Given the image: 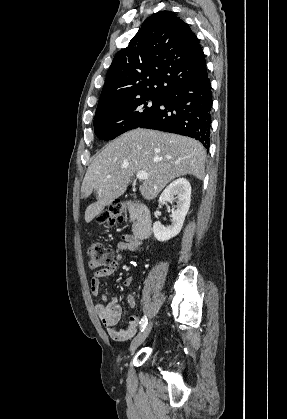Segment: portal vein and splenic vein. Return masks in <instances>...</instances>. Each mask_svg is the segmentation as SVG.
I'll use <instances>...</instances> for the list:
<instances>
[{
	"mask_svg": "<svg viewBox=\"0 0 287 419\" xmlns=\"http://www.w3.org/2000/svg\"><path fill=\"white\" fill-rule=\"evenodd\" d=\"M136 178L138 180H145V179H148V174L145 171H139L136 173Z\"/></svg>",
	"mask_w": 287,
	"mask_h": 419,
	"instance_id": "1",
	"label": "portal vein and splenic vein"
}]
</instances>
